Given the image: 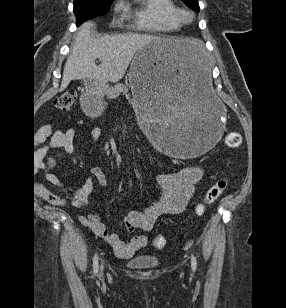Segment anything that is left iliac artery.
I'll list each match as a JSON object with an SVG mask.
<instances>
[{"label": "left iliac artery", "instance_id": "left-iliac-artery-1", "mask_svg": "<svg viewBox=\"0 0 286 308\" xmlns=\"http://www.w3.org/2000/svg\"><path fill=\"white\" fill-rule=\"evenodd\" d=\"M191 266H192L193 270H196L197 260H196V257L193 254H191Z\"/></svg>", "mask_w": 286, "mask_h": 308}]
</instances>
